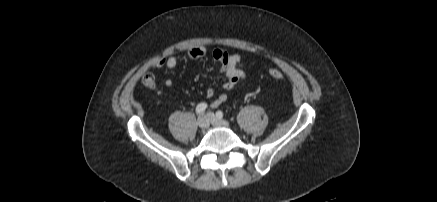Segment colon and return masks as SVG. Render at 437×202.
<instances>
[{"label":"colon","mask_w":437,"mask_h":202,"mask_svg":"<svg viewBox=\"0 0 437 202\" xmlns=\"http://www.w3.org/2000/svg\"><path fill=\"white\" fill-rule=\"evenodd\" d=\"M269 75L275 80H282L284 78V74L278 69H270ZM142 82L146 87L150 89L156 88L155 78L151 73L145 74L142 77Z\"/></svg>","instance_id":"colon-1"}]
</instances>
